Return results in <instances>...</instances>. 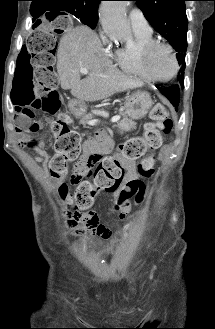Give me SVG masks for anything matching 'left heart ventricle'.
Returning a JSON list of instances; mask_svg holds the SVG:
<instances>
[{"label": "left heart ventricle", "instance_id": "obj_1", "mask_svg": "<svg viewBox=\"0 0 215 329\" xmlns=\"http://www.w3.org/2000/svg\"><path fill=\"white\" fill-rule=\"evenodd\" d=\"M150 70L156 77L167 78L174 71V61L168 49L158 47L152 53Z\"/></svg>", "mask_w": 215, "mask_h": 329}]
</instances>
